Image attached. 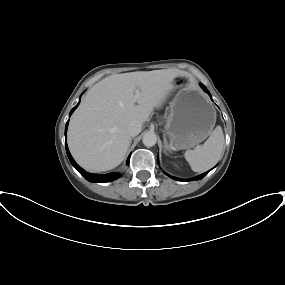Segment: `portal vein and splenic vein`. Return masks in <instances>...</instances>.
I'll use <instances>...</instances> for the list:
<instances>
[{
  "mask_svg": "<svg viewBox=\"0 0 285 285\" xmlns=\"http://www.w3.org/2000/svg\"><path fill=\"white\" fill-rule=\"evenodd\" d=\"M139 96H140V92H139L138 90H136V93H135L134 98H135V99H138Z\"/></svg>",
  "mask_w": 285,
  "mask_h": 285,
  "instance_id": "18ae733b",
  "label": "portal vein and splenic vein"
}]
</instances>
